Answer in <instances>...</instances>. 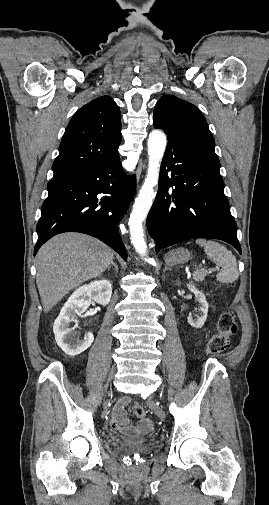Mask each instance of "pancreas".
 <instances>
[{
    "label": "pancreas",
    "instance_id": "obj_1",
    "mask_svg": "<svg viewBox=\"0 0 269 505\" xmlns=\"http://www.w3.org/2000/svg\"><path fill=\"white\" fill-rule=\"evenodd\" d=\"M208 274V271L207 270H197L193 273V279L198 281V282H201L204 280V278L206 277V275Z\"/></svg>",
    "mask_w": 269,
    "mask_h": 505
}]
</instances>
